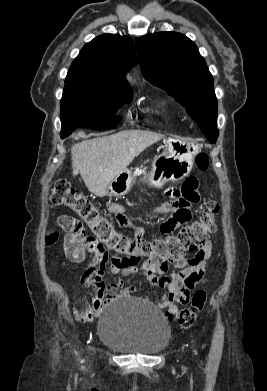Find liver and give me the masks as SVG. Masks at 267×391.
<instances>
[{
  "label": "liver",
  "mask_w": 267,
  "mask_h": 391,
  "mask_svg": "<svg viewBox=\"0 0 267 391\" xmlns=\"http://www.w3.org/2000/svg\"><path fill=\"white\" fill-rule=\"evenodd\" d=\"M163 138L156 132L126 130L77 143L71 148L73 176L80 174L88 190L102 197L120 172Z\"/></svg>",
  "instance_id": "6515ba94"
}]
</instances>
